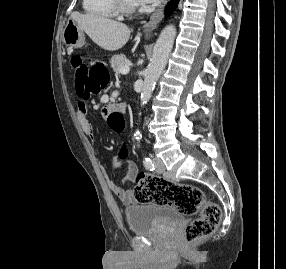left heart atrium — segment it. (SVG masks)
Returning <instances> with one entry per match:
<instances>
[{
  "label": "left heart atrium",
  "instance_id": "1",
  "mask_svg": "<svg viewBox=\"0 0 286 269\" xmlns=\"http://www.w3.org/2000/svg\"><path fill=\"white\" fill-rule=\"evenodd\" d=\"M137 4L141 5H157L160 3L162 0H135Z\"/></svg>",
  "mask_w": 286,
  "mask_h": 269
}]
</instances>
